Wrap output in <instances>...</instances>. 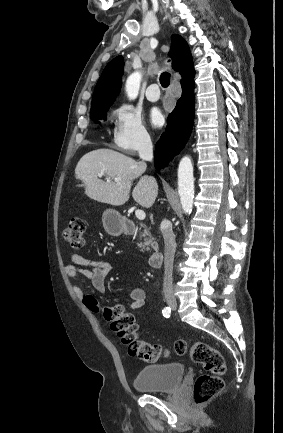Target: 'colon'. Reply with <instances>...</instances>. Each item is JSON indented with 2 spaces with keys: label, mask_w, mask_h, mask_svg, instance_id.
<instances>
[{
  "label": "colon",
  "mask_w": 283,
  "mask_h": 433,
  "mask_svg": "<svg viewBox=\"0 0 283 433\" xmlns=\"http://www.w3.org/2000/svg\"><path fill=\"white\" fill-rule=\"evenodd\" d=\"M85 231L84 220L81 217H73L63 232V239L73 250L79 251L85 244ZM85 304L91 310H100L97 300L92 296L85 298ZM103 313L105 319L110 322L111 329L127 346L131 356L146 362H156L169 354V351L163 346L148 343L139 338L133 314L126 312L121 305L105 307ZM173 352L177 355L188 353L192 361L200 364L205 370V373L200 375L194 383L193 398L196 404L208 402L224 389L222 376L226 371V364L219 350L203 341L188 344L179 340L174 344Z\"/></svg>",
  "instance_id": "1"
}]
</instances>
